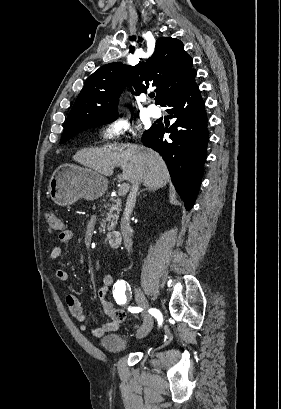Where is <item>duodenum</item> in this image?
Instances as JSON below:
<instances>
[{
  "label": "duodenum",
  "mask_w": 281,
  "mask_h": 409,
  "mask_svg": "<svg viewBox=\"0 0 281 409\" xmlns=\"http://www.w3.org/2000/svg\"><path fill=\"white\" fill-rule=\"evenodd\" d=\"M107 239L111 247L118 248L122 243V234L119 231H112L108 233Z\"/></svg>",
  "instance_id": "1"
}]
</instances>
